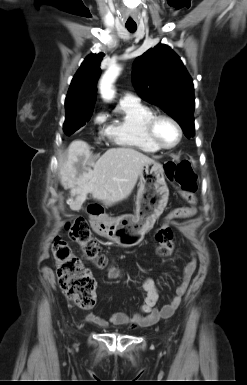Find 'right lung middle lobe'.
I'll return each instance as SVG.
<instances>
[{
    "label": "right lung middle lobe",
    "mask_w": 247,
    "mask_h": 385,
    "mask_svg": "<svg viewBox=\"0 0 247 385\" xmlns=\"http://www.w3.org/2000/svg\"><path fill=\"white\" fill-rule=\"evenodd\" d=\"M93 107H66L63 129L67 135L73 134L89 121Z\"/></svg>",
    "instance_id": "dd1d6c3e"
}]
</instances>
